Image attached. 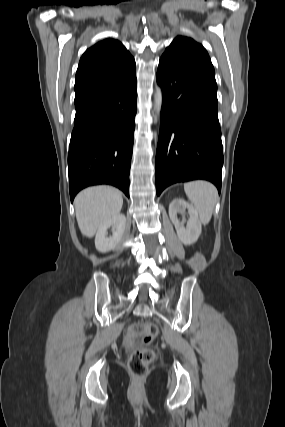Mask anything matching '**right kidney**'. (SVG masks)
I'll list each match as a JSON object with an SVG mask.
<instances>
[{
	"mask_svg": "<svg viewBox=\"0 0 285 427\" xmlns=\"http://www.w3.org/2000/svg\"><path fill=\"white\" fill-rule=\"evenodd\" d=\"M126 226L124 214H118L101 225L96 233L95 247L100 252H108L118 246L123 238ZM112 228V236L108 237V228Z\"/></svg>",
	"mask_w": 285,
	"mask_h": 427,
	"instance_id": "right-kidney-1",
	"label": "right kidney"
}]
</instances>
